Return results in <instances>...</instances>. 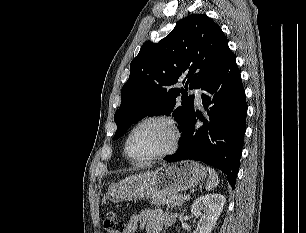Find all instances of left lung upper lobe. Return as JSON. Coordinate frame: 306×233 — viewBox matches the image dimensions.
<instances>
[{"instance_id":"left-lung-upper-lobe-1","label":"left lung upper lobe","mask_w":306,"mask_h":233,"mask_svg":"<svg viewBox=\"0 0 306 233\" xmlns=\"http://www.w3.org/2000/svg\"><path fill=\"white\" fill-rule=\"evenodd\" d=\"M219 25L205 14L188 15L159 43L145 42L130 64V76L121 89L122 103L114 115L121 137L132 123L146 116L169 114L179 121L181 131L194 112V96L214 74L229 51ZM183 78L185 89L175 88ZM182 94V105L176 98Z\"/></svg>"}]
</instances>
